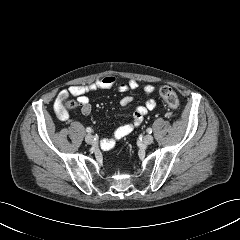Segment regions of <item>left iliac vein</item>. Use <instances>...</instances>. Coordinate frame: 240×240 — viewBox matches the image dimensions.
<instances>
[{
	"instance_id": "4c4485c4",
	"label": "left iliac vein",
	"mask_w": 240,
	"mask_h": 240,
	"mask_svg": "<svg viewBox=\"0 0 240 240\" xmlns=\"http://www.w3.org/2000/svg\"><path fill=\"white\" fill-rule=\"evenodd\" d=\"M153 136L151 135H146L144 138H143V142L145 145H150L152 142H153Z\"/></svg>"
}]
</instances>
